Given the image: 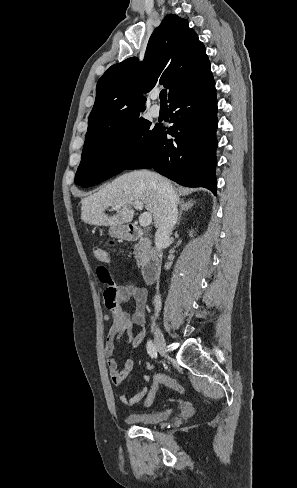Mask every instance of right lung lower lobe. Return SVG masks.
<instances>
[{"mask_svg":"<svg viewBox=\"0 0 297 488\" xmlns=\"http://www.w3.org/2000/svg\"><path fill=\"white\" fill-rule=\"evenodd\" d=\"M169 109L173 126L159 128L127 169L154 168L183 186L205 187L216 195L218 121L212 74L183 91L170 102ZM167 134L174 139H167Z\"/></svg>","mask_w":297,"mask_h":488,"instance_id":"right-lung-lower-lobe-1","label":"right lung lower lobe"}]
</instances>
